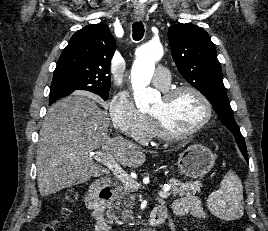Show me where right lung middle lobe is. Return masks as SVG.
<instances>
[{"mask_svg": "<svg viewBox=\"0 0 268 231\" xmlns=\"http://www.w3.org/2000/svg\"><path fill=\"white\" fill-rule=\"evenodd\" d=\"M66 92L67 91L65 89H63V88H51V90H50V98L55 97V96L65 95ZM96 94L101 96L104 100H107L108 96H109V92L96 93Z\"/></svg>", "mask_w": 268, "mask_h": 231, "instance_id": "obj_1", "label": "right lung middle lobe"}]
</instances>
